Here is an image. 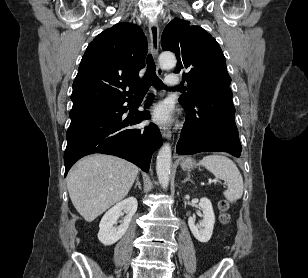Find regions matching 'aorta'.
<instances>
[{
  "mask_svg": "<svg viewBox=\"0 0 308 278\" xmlns=\"http://www.w3.org/2000/svg\"><path fill=\"white\" fill-rule=\"evenodd\" d=\"M159 63L164 68H172L176 65L175 55L171 52H163L159 56ZM171 156V147L166 143L159 150L156 161L158 180L164 189L169 185Z\"/></svg>",
  "mask_w": 308,
  "mask_h": 278,
  "instance_id": "1",
  "label": "aorta"
}]
</instances>
